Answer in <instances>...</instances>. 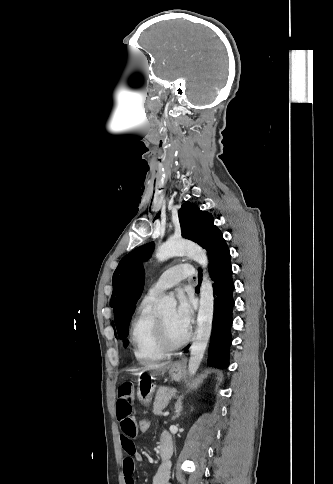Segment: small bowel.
<instances>
[{
	"label": "small bowel",
	"mask_w": 333,
	"mask_h": 484,
	"mask_svg": "<svg viewBox=\"0 0 333 484\" xmlns=\"http://www.w3.org/2000/svg\"><path fill=\"white\" fill-rule=\"evenodd\" d=\"M135 386L131 381L123 382L117 392L116 417L121 428V444L126 456L123 459L122 469L126 484H135V463L142 461V456L136 451L134 439L138 435L137 417L134 408ZM170 440V435L164 432L162 440ZM170 466H159L153 477V484H170Z\"/></svg>",
	"instance_id": "1"
}]
</instances>
